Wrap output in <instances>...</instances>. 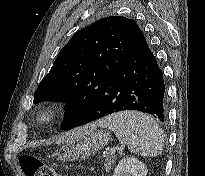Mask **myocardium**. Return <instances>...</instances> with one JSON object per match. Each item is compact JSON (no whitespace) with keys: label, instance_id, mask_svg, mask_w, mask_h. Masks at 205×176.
I'll use <instances>...</instances> for the list:
<instances>
[{"label":"myocardium","instance_id":"1","mask_svg":"<svg viewBox=\"0 0 205 176\" xmlns=\"http://www.w3.org/2000/svg\"><path fill=\"white\" fill-rule=\"evenodd\" d=\"M62 107L58 103H52L40 109L36 115V121L41 124L53 123L59 116Z\"/></svg>","mask_w":205,"mask_h":176}]
</instances>
